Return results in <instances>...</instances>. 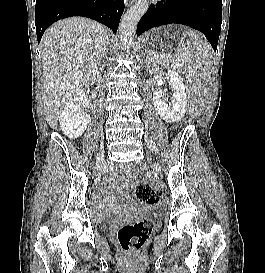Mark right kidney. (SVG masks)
Masks as SVG:
<instances>
[{"label":"right kidney","mask_w":265,"mask_h":273,"mask_svg":"<svg viewBox=\"0 0 265 273\" xmlns=\"http://www.w3.org/2000/svg\"><path fill=\"white\" fill-rule=\"evenodd\" d=\"M86 98L87 93L81 90L66 103L60 114L61 129L71 139L80 137L90 122V115L81 111V106L85 104Z\"/></svg>","instance_id":"obj_1"}]
</instances>
